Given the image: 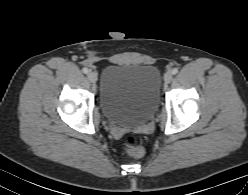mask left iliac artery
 Returning a JSON list of instances; mask_svg holds the SVG:
<instances>
[{
    "label": "left iliac artery",
    "instance_id": "44dca946",
    "mask_svg": "<svg viewBox=\"0 0 248 195\" xmlns=\"http://www.w3.org/2000/svg\"><path fill=\"white\" fill-rule=\"evenodd\" d=\"M178 73V69L177 68H174L173 70H172V74H177Z\"/></svg>",
    "mask_w": 248,
    "mask_h": 195
}]
</instances>
